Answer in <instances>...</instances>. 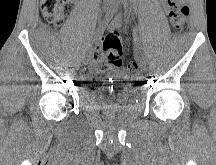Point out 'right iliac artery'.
Instances as JSON below:
<instances>
[{
    "label": "right iliac artery",
    "instance_id": "1",
    "mask_svg": "<svg viewBox=\"0 0 216 165\" xmlns=\"http://www.w3.org/2000/svg\"><path fill=\"white\" fill-rule=\"evenodd\" d=\"M118 6V1L113 0V3L109 9V12L106 14L105 18L103 19V21L100 23V25L98 26L95 34H94V38L90 41L92 44L94 42H96L97 40H99L101 38V36L104 33V30L106 29V27L108 26V23L110 22V20L113 18L116 9ZM90 45H86V50L84 51V57L86 58L87 56H89L90 53V49L88 48ZM84 64L87 62L85 59L82 61Z\"/></svg>",
    "mask_w": 216,
    "mask_h": 165
}]
</instances>
